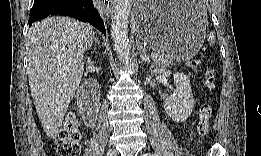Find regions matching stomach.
Instances as JSON below:
<instances>
[{"label":"stomach","mask_w":261,"mask_h":156,"mask_svg":"<svg viewBox=\"0 0 261 156\" xmlns=\"http://www.w3.org/2000/svg\"><path fill=\"white\" fill-rule=\"evenodd\" d=\"M133 18L143 42L178 61L190 60L202 46L207 16L198 2H138Z\"/></svg>","instance_id":"stomach-1"}]
</instances>
